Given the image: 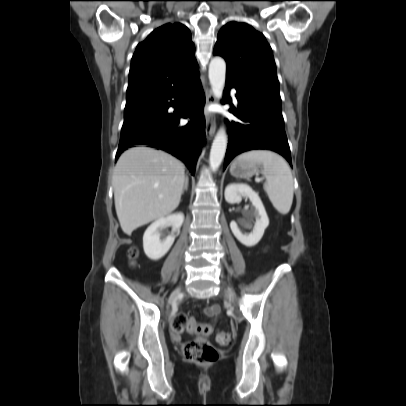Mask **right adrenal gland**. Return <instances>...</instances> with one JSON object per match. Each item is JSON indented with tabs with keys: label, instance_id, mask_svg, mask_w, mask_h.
<instances>
[{
	"label": "right adrenal gland",
	"instance_id": "2a0ac1e0",
	"mask_svg": "<svg viewBox=\"0 0 406 406\" xmlns=\"http://www.w3.org/2000/svg\"><path fill=\"white\" fill-rule=\"evenodd\" d=\"M188 184H189V178H188V176H186V177H185L184 186H183V190H182V193H181V194H183L185 191L188 190Z\"/></svg>",
	"mask_w": 406,
	"mask_h": 406
}]
</instances>
